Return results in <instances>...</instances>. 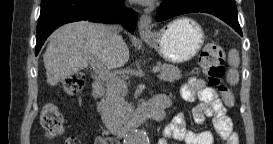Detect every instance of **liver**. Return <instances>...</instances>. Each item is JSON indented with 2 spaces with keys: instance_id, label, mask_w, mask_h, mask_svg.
<instances>
[{
  "instance_id": "6515ba94",
  "label": "liver",
  "mask_w": 273,
  "mask_h": 144,
  "mask_svg": "<svg viewBox=\"0 0 273 144\" xmlns=\"http://www.w3.org/2000/svg\"><path fill=\"white\" fill-rule=\"evenodd\" d=\"M119 68L127 63L129 49L122 37H112L109 26L88 21L61 26L50 36L43 55L47 82L51 86L88 67L92 63Z\"/></svg>"
}]
</instances>
